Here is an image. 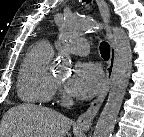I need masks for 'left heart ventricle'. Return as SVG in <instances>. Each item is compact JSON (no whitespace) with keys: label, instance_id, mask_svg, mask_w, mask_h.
Segmentation results:
<instances>
[{"label":"left heart ventricle","instance_id":"1","mask_svg":"<svg viewBox=\"0 0 144 137\" xmlns=\"http://www.w3.org/2000/svg\"><path fill=\"white\" fill-rule=\"evenodd\" d=\"M57 77H58V79L61 80V81L65 80V75H58Z\"/></svg>","mask_w":144,"mask_h":137}]
</instances>
